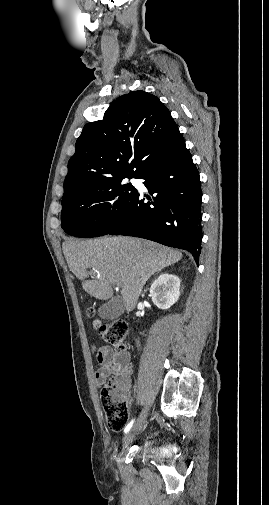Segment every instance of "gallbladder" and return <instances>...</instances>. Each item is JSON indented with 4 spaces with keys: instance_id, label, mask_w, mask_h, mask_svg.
Wrapping results in <instances>:
<instances>
[{
    "instance_id": "1",
    "label": "gallbladder",
    "mask_w": 269,
    "mask_h": 505,
    "mask_svg": "<svg viewBox=\"0 0 269 505\" xmlns=\"http://www.w3.org/2000/svg\"><path fill=\"white\" fill-rule=\"evenodd\" d=\"M124 302L120 296H115L98 309V314L103 319H116L124 312Z\"/></svg>"
}]
</instances>
